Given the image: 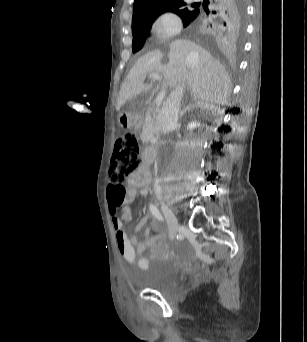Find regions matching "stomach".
<instances>
[{
	"label": "stomach",
	"instance_id": "1",
	"mask_svg": "<svg viewBox=\"0 0 307 342\" xmlns=\"http://www.w3.org/2000/svg\"><path fill=\"white\" fill-rule=\"evenodd\" d=\"M119 123L123 127H125V126L129 127L131 124V119H130L129 115L124 114V113L120 114L119 115Z\"/></svg>",
	"mask_w": 307,
	"mask_h": 342
}]
</instances>
